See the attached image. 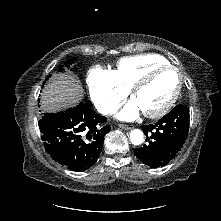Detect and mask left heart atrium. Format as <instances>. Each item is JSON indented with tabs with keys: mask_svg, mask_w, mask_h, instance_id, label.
I'll return each instance as SVG.
<instances>
[{
	"mask_svg": "<svg viewBox=\"0 0 221 221\" xmlns=\"http://www.w3.org/2000/svg\"><path fill=\"white\" fill-rule=\"evenodd\" d=\"M140 111L141 109L137 103L132 101L118 114V118L122 120H133L139 115Z\"/></svg>",
	"mask_w": 221,
	"mask_h": 221,
	"instance_id": "left-heart-atrium-1",
	"label": "left heart atrium"
}]
</instances>
